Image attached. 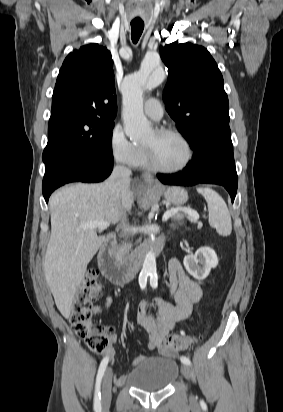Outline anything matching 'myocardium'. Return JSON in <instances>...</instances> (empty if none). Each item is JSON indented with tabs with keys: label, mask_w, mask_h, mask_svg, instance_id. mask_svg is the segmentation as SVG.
<instances>
[{
	"label": "myocardium",
	"mask_w": 283,
	"mask_h": 412,
	"mask_svg": "<svg viewBox=\"0 0 283 412\" xmlns=\"http://www.w3.org/2000/svg\"><path fill=\"white\" fill-rule=\"evenodd\" d=\"M155 132L158 135H172L178 138L184 144L186 148V158L184 162L178 167L165 168L156 163L150 146L143 144L144 154H145L148 167H150L154 171L161 172V173H169V174L178 173V172L185 170L192 162V159L194 156L193 147L190 141L188 140V138L183 133L173 128L160 127V128H156Z\"/></svg>",
	"instance_id": "f54148a6"
}]
</instances>
